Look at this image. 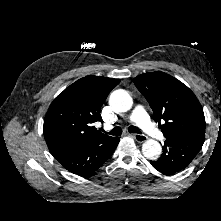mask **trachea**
<instances>
[{
  "mask_svg": "<svg viewBox=\"0 0 221 221\" xmlns=\"http://www.w3.org/2000/svg\"><path fill=\"white\" fill-rule=\"evenodd\" d=\"M128 131L131 133L141 134L140 129H138L136 126H129ZM121 133H122L121 127L117 126V127L113 128L110 132H108L107 134L113 135V136H119V135H121Z\"/></svg>",
  "mask_w": 221,
  "mask_h": 221,
  "instance_id": "obj_1",
  "label": "trachea"
}]
</instances>
